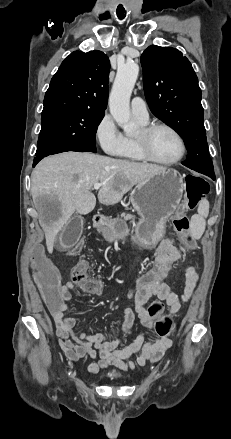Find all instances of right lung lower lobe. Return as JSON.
Segmentation results:
<instances>
[{
  "instance_id": "right-lung-lower-lobe-1",
  "label": "right lung lower lobe",
  "mask_w": 231,
  "mask_h": 439,
  "mask_svg": "<svg viewBox=\"0 0 231 439\" xmlns=\"http://www.w3.org/2000/svg\"><path fill=\"white\" fill-rule=\"evenodd\" d=\"M45 156H36L34 159L33 166H35L41 159H43Z\"/></svg>"
}]
</instances>
